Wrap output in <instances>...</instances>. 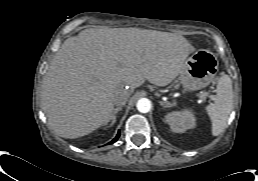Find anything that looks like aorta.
<instances>
[{
    "instance_id": "aorta-1",
    "label": "aorta",
    "mask_w": 258,
    "mask_h": 181,
    "mask_svg": "<svg viewBox=\"0 0 258 181\" xmlns=\"http://www.w3.org/2000/svg\"><path fill=\"white\" fill-rule=\"evenodd\" d=\"M136 107L139 112L141 113H147L151 109V102L147 98H141L138 100Z\"/></svg>"
}]
</instances>
